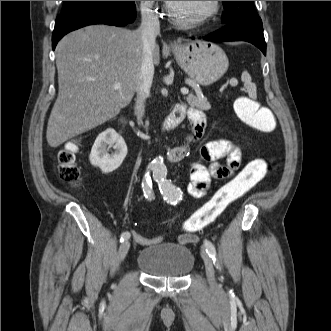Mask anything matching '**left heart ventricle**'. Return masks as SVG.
Listing matches in <instances>:
<instances>
[{
  "mask_svg": "<svg viewBox=\"0 0 331 331\" xmlns=\"http://www.w3.org/2000/svg\"><path fill=\"white\" fill-rule=\"evenodd\" d=\"M170 5L178 18L189 20L207 12L211 6V1H175Z\"/></svg>",
  "mask_w": 331,
  "mask_h": 331,
  "instance_id": "1",
  "label": "left heart ventricle"
}]
</instances>
